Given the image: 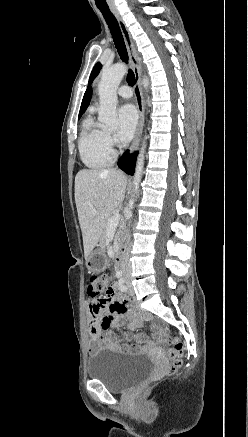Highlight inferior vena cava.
<instances>
[{"label":"inferior vena cava","mask_w":248,"mask_h":437,"mask_svg":"<svg viewBox=\"0 0 248 437\" xmlns=\"http://www.w3.org/2000/svg\"><path fill=\"white\" fill-rule=\"evenodd\" d=\"M129 246H130V245H129ZM129 246H128V248H127V251H126V254H125V257H124V266H125L126 268H130V262H129V258H128Z\"/></svg>","instance_id":"1"}]
</instances>
